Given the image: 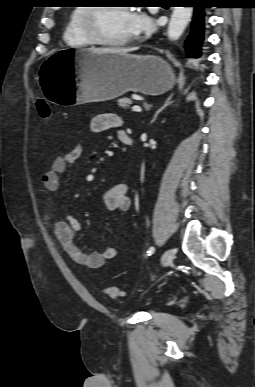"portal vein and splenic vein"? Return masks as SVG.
I'll return each instance as SVG.
<instances>
[{"mask_svg":"<svg viewBox=\"0 0 255 387\" xmlns=\"http://www.w3.org/2000/svg\"><path fill=\"white\" fill-rule=\"evenodd\" d=\"M132 110H133L134 112H141V111H142V109H141L138 105L133 106V107H132Z\"/></svg>","mask_w":255,"mask_h":387,"instance_id":"18ae733b","label":"portal vein and splenic vein"}]
</instances>
